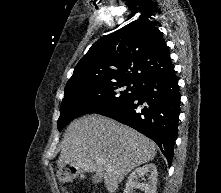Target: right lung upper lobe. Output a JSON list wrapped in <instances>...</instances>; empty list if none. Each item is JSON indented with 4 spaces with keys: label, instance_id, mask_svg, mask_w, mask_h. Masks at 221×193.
Returning <instances> with one entry per match:
<instances>
[{
    "label": "right lung upper lobe",
    "instance_id": "1",
    "mask_svg": "<svg viewBox=\"0 0 221 193\" xmlns=\"http://www.w3.org/2000/svg\"><path fill=\"white\" fill-rule=\"evenodd\" d=\"M173 70L152 18L139 19L96 41L76 65L65 89L122 81L142 82Z\"/></svg>",
    "mask_w": 221,
    "mask_h": 193
}]
</instances>
